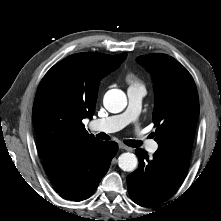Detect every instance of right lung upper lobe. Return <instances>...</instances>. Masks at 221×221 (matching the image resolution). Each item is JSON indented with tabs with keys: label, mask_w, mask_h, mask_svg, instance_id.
<instances>
[{
	"label": "right lung upper lobe",
	"mask_w": 221,
	"mask_h": 221,
	"mask_svg": "<svg viewBox=\"0 0 221 221\" xmlns=\"http://www.w3.org/2000/svg\"><path fill=\"white\" fill-rule=\"evenodd\" d=\"M126 57L127 53H77L46 73L39 84L32 114L43 161L97 141L82 120L94 114L100 79Z\"/></svg>",
	"instance_id": "cb5924a9"
}]
</instances>
